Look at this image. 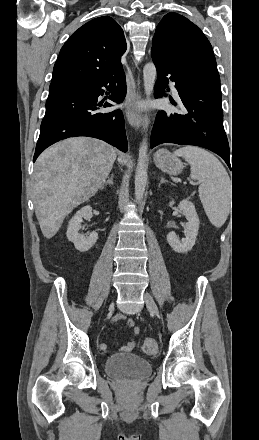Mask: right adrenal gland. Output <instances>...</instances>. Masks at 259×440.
I'll use <instances>...</instances> for the list:
<instances>
[{
	"mask_svg": "<svg viewBox=\"0 0 259 440\" xmlns=\"http://www.w3.org/2000/svg\"><path fill=\"white\" fill-rule=\"evenodd\" d=\"M113 184H114V175L111 174L110 177H108L107 181L104 183V186L113 185Z\"/></svg>",
	"mask_w": 259,
	"mask_h": 440,
	"instance_id": "1",
	"label": "right adrenal gland"
}]
</instances>
